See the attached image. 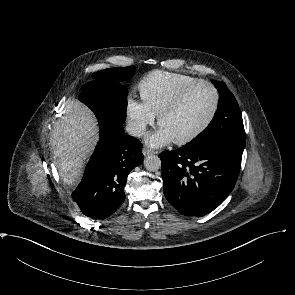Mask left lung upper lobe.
Returning <instances> with one entry per match:
<instances>
[{
	"instance_id": "5c2ea615",
	"label": "left lung upper lobe",
	"mask_w": 295,
	"mask_h": 295,
	"mask_svg": "<svg viewBox=\"0 0 295 295\" xmlns=\"http://www.w3.org/2000/svg\"><path fill=\"white\" fill-rule=\"evenodd\" d=\"M215 86L221 97L214 118L208 127L185 148L223 146L243 153L246 137L238 103L224 82L215 81Z\"/></svg>"
}]
</instances>
